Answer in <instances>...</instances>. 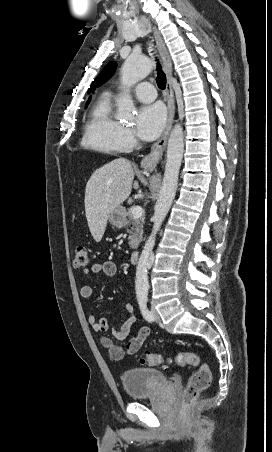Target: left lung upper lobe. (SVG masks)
I'll return each mask as SVG.
<instances>
[{
	"mask_svg": "<svg viewBox=\"0 0 272 452\" xmlns=\"http://www.w3.org/2000/svg\"><path fill=\"white\" fill-rule=\"evenodd\" d=\"M115 70L116 63L113 61L109 62L101 71V73L98 75V77L92 82L88 92H91L94 88L99 87L103 83H105L109 78L112 77Z\"/></svg>",
	"mask_w": 272,
	"mask_h": 452,
	"instance_id": "obj_1",
	"label": "left lung upper lobe"
}]
</instances>
